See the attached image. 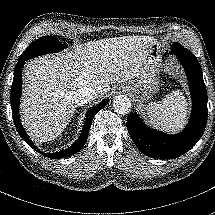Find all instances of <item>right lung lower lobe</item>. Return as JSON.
Wrapping results in <instances>:
<instances>
[{
    "label": "right lung lower lobe",
    "instance_id": "98d812e1",
    "mask_svg": "<svg viewBox=\"0 0 215 215\" xmlns=\"http://www.w3.org/2000/svg\"><path fill=\"white\" fill-rule=\"evenodd\" d=\"M25 61L26 60H24V59H20L19 62L16 64V67L14 69L13 83L11 86L10 100H11L12 116H13L15 127H16L18 133L20 134V136L22 137V139L31 148H33L35 151L39 152L43 156L51 158V159L70 157L73 154L79 152L83 148L84 144L87 141L90 126H91L92 120L94 118V115L98 111L103 109L107 105L108 101L107 100L102 101L99 105H97L96 107H93L92 109H90L87 112L81 134L78 137V139L70 147H68L67 149L61 150L59 152H55V153L42 152L29 139V137L27 136V134L20 122L19 103H20V97H21V92H22V68H23Z\"/></svg>",
    "mask_w": 215,
    "mask_h": 215
}]
</instances>
